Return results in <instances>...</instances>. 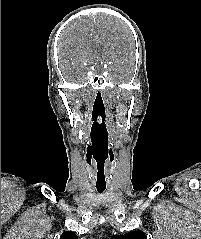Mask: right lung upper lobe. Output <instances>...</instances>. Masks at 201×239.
Here are the masks:
<instances>
[{"label": "right lung upper lobe", "instance_id": "obj_1", "mask_svg": "<svg viewBox=\"0 0 201 239\" xmlns=\"http://www.w3.org/2000/svg\"><path fill=\"white\" fill-rule=\"evenodd\" d=\"M60 239H77V236L74 232L66 231L61 235Z\"/></svg>", "mask_w": 201, "mask_h": 239}]
</instances>
